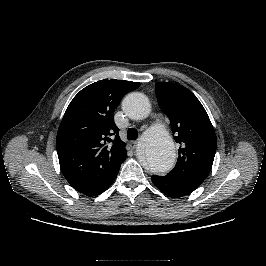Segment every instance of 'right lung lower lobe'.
Segmentation results:
<instances>
[{"label": "right lung lower lobe", "mask_w": 266, "mask_h": 266, "mask_svg": "<svg viewBox=\"0 0 266 266\" xmlns=\"http://www.w3.org/2000/svg\"><path fill=\"white\" fill-rule=\"evenodd\" d=\"M119 171V170H118ZM118 171L111 177L109 178L107 181H105L103 184H101L100 186L93 188L91 190L88 191H81V193L87 195V196H98L100 195L102 192H104L115 180Z\"/></svg>", "instance_id": "98d812e1"}]
</instances>
